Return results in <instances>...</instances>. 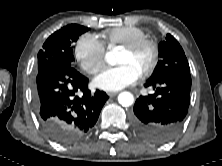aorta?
Returning a JSON list of instances; mask_svg holds the SVG:
<instances>
[{
    "label": "aorta",
    "mask_w": 222,
    "mask_h": 166,
    "mask_svg": "<svg viewBox=\"0 0 222 166\" xmlns=\"http://www.w3.org/2000/svg\"><path fill=\"white\" fill-rule=\"evenodd\" d=\"M106 61L114 65L116 63V51L112 50L106 53L105 55ZM118 102L124 106L128 107L131 106L134 102V97L130 92L124 91L118 95Z\"/></svg>",
    "instance_id": "762f6f07"
}]
</instances>
